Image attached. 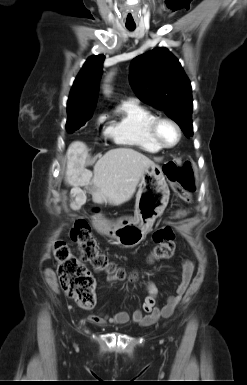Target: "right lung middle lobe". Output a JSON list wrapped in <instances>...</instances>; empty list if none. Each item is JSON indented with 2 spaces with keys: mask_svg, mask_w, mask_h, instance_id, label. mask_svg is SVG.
<instances>
[{
  "mask_svg": "<svg viewBox=\"0 0 247 385\" xmlns=\"http://www.w3.org/2000/svg\"><path fill=\"white\" fill-rule=\"evenodd\" d=\"M68 120L66 124L67 130L72 133L79 129L92 117V109H67Z\"/></svg>",
  "mask_w": 247,
  "mask_h": 385,
  "instance_id": "right-lung-middle-lobe-1",
  "label": "right lung middle lobe"
}]
</instances>
